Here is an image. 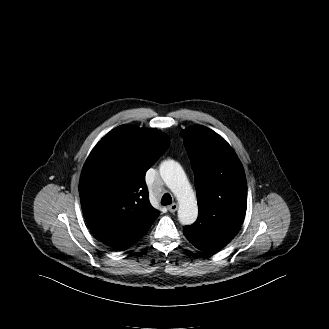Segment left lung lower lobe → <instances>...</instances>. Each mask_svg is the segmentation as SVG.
<instances>
[{
  "label": "left lung lower lobe",
  "mask_w": 329,
  "mask_h": 329,
  "mask_svg": "<svg viewBox=\"0 0 329 329\" xmlns=\"http://www.w3.org/2000/svg\"><path fill=\"white\" fill-rule=\"evenodd\" d=\"M186 236L185 230H183ZM237 233L232 231H222L217 239L214 240H191L186 238L199 250L204 251L207 255H212L222 249Z\"/></svg>",
  "instance_id": "1"
}]
</instances>
